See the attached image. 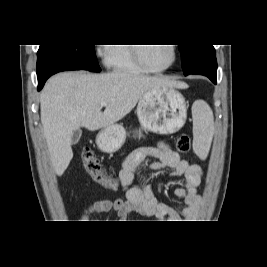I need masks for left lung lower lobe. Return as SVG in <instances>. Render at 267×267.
I'll return each instance as SVG.
<instances>
[{"label":"left lung lower lobe","mask_w":267,"mask_h":267,"mask_svg":"<svg viewBox=\"0 0 267 267\" xmlns=\"http://www.w3.org/2000/svg\"><path fill=\"white\" fill-rule=\"evenodd\" d=\"M189 74H199L207 76L214 84L217 83V61L215 58H209L199 63Z\"/></svg>","instance_id":"obj_1"}]
</instances>
